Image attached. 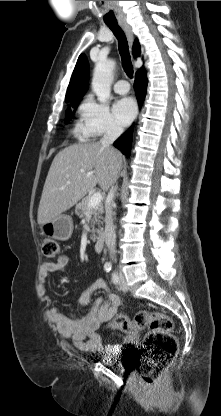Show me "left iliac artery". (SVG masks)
I'll return each mask as SVG.
<instances>
[{"instance_id":"left-iliac-artery-1","label":"left iliac artery","mask_w":221,"mask_h":416,"mask_svg":"<svg viewBox=\"0 0 221 416\" xmlns=\"http://www.w3.org/2000/svg\"><path fill=\"white\" fill-rule=\"evenodd\" d=\"M112 281L115 284L118 283V276H117V274H115V273L112 274Z\"/></svg>"}]
</instances>
